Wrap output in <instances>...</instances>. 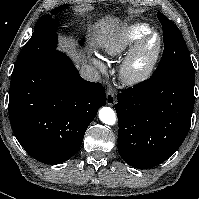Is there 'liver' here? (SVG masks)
I'll return each instance as SVG.
<instances>
[{
    "instance_id": "obj_1",
    "label": "liver",
    "mask_w": 199,
    "mask_h": 199,
    "mask_svg": "<svg viewBox=\"0 0 199 199\" xmlns=\"http://www.w3.org/2000/svg\"><path fill=\"white\" fill-rule=\"evenodd\" d=\"M117 26V20H113L109 17L102 19L99 22L95 23L91 30L96 34V39L101 40L107 35H113L115 28ZM61 50L66 51L67 54L74 60L75 63L81 61V56L78 55L73 48L71 42H65L64 45H61Z\"/></svg>"
}]
</instances>
